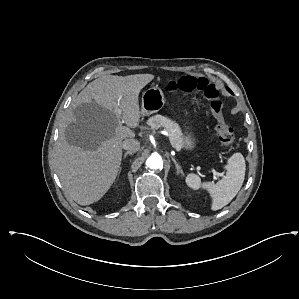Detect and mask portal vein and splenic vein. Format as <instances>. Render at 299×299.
Listing matches in <instances>:
<instances>
[{
  "label": "portal vein and splenic vein",
  "instance_id": "18ae733b",
  "mask_svg": "<svg viewBox=\"0 0 299 299\" xmlns=\"http://www.w3.org/2000/svg\"><path fill=\"white\" fill-rule=\"evenodd\" d=\"M213 173H214V174H218L215 170H213Z\"/></svg>",
  "mask_w": 299,
  "mask_h": 299
}]
</instances>
